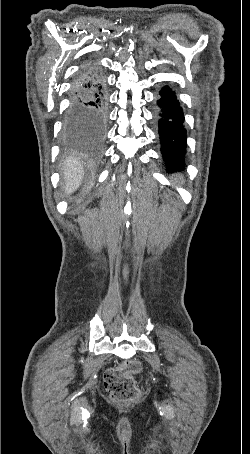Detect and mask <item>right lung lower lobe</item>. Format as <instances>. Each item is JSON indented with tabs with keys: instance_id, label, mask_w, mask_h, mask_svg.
<instances>
[{
	"instance_id": "98d812e1",
	"label": "right lung lower lobe",
	"mask_w": 250,
	"mask_h": 454,
	"mask_svg": "<svg viewBox=\"0 0 250 454\" xmlns=\"http://www.w3.org/2000/svg\"><path fill=\"white\" fill-rule=\"evenodd\" d=\"M107 93L100 66L88 61L79 68L70 91L66 124L78 141L98 147L104 141Z\"/></svg>"
}]
</instances>
